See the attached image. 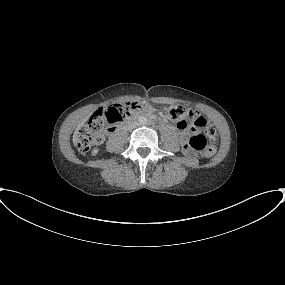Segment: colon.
Instances as JSON below:
<instances>
[{"label":"colon","instance_id":"1","mask_svg":"<svg viewBox=\"0 0 285 285\" xmlns=\"http://www.w3.org/2000/svg\"><path fill=\"white\" fill-rule=\"evenodd\" d=\"M148 107L149 104L146 102L128 101L113 105L106 111H96L75 135L78 149L81 152L89 151L102 141L104 135L110 130L109 125L120 123L132 112L145 110ZM168 114L172 119H177L183 114V109L173 106L168 108ZM180 125L182 129L190 131V135L183 145L185 152H202L205 157L214 155L215 147L208 143V138L214 139L216 130L210 125L205 128L204 132H199V129L206 126V120L202 116L192 122L181 121Z\"/></svg>","mask_w":285,"mask_h":285}]
</instances>
